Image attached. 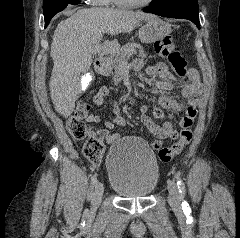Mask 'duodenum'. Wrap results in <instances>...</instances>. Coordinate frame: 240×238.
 I'll list each match as a JSON object with an SVG mask.
<instances>
[{
	"instance_id": "410a0bca",
	"label": "duodenum",
	"mask_w": 240,
	"mask_h": 238,
	"mask_svg": "<svg viewBox=\"0 0 240 238\" xmlns=\"http://www.w3.org/2000/svg\"><path fill=\"white\" fill-rule=\"evenodd\" d=\"M95 68L100 74L107 76L110 70L109 61L105 58H98L95 61Z\"/></svg>"
}]
</instances>
